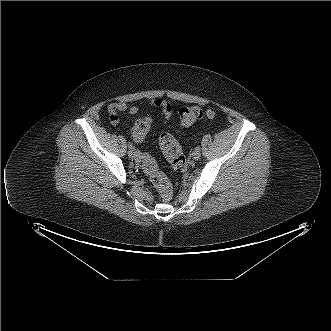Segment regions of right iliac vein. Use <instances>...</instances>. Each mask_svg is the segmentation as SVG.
I'll return each instance as SVG.
<instances>
[{
  "mask_svg": "<svg viewBox=\"0 0 331 331\" xmlns=\"http://www.w3.org/2000/svg\"><path fill=\"white\" fill-rule=\"evenodd\" d=\"M128 156L130 158H137L139 156V153L134 148H130L128 151Z\"/></svg>",
  "mask_w": 331,
  "mask_h": 331,
  "instance_id": "right-iliac-vein-1",
  "label": "right iliac vein"
}]
</instances>
